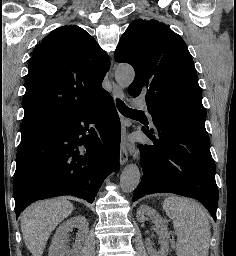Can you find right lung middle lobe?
<instances>
[{
	"instance_id": "obj_1",
	"label": "right lung middle lobe",
	"mask_w": 236,
	"mask_h": 256,
	"mask_svg": "<svg viewBox=\"0 0 236 256\" xmlns=\"http://www.w3.org/2000/svg\"><path fill=\"white\" fill-rule=\"evenodd\" d=\"M62 119L52 118V117H44L37 119H30L22 121L21 132L22 137L21 141L26 140L43 130L53 126L54 124L60 122Z\"/></svg>"
}]
</instances>
